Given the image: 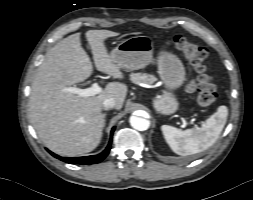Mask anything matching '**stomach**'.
Listing matches in <instances>:
<instances>
[{
    "label": "stomach",
    "instance_id": "0dacf381",
    "mask_svg": "<svg viewBox=\"0 0 253 200\" xmlns=\"http://www.w3.org/2000/svg\"><path fill=\"white\" fill-rule=\"evenodd\" d=\"M153 53V42L147 36L125 39L115 47L110 58L117 66L127 70L142 69L147 66ZM158 74L168 90L162 92L153 102L157 112L170 115L178 109V102L170 91L180 87L185 81L182 61L172 52L161 50L157 59Z\"/></svg>",
    "mask_w": 253,
    "mask_h": 200
}]
</instances>
